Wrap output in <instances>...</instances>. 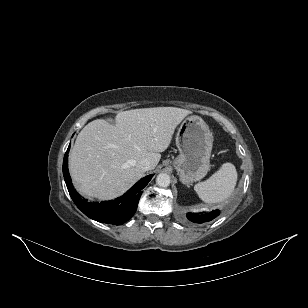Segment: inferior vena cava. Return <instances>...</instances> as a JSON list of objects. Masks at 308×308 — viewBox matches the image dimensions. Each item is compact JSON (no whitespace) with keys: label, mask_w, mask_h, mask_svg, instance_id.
I'll list each match as a JSON object with an SVG mask.
<instances>
[{"label":"inferior vena cava","mask_w":308,"mask_h":308,"mask_svg":"<svg viewBox=\"0 0 308 308\" xmlns=\"http://www.w3.org/2000/svg\"><path fill=\"white\" fill-rule=\"evenodd\" d=\"M137 167L145 172L151 169V163L148 159L144 158L137 163Z\"/></svg>","instance_id":"inferior-vena-cava-1"}]
</instances>
